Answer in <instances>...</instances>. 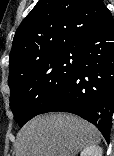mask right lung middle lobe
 <instances>
[{"label": "right lung middle lobe", "instance_id": "dd1d6c3e", "mask_svg": "<svg viewBox=\"0 0 114 156\" xmlns=\"http://www.w3.org/2000/svg\"><path fill=\"white\" fill-rule=\"evenodd\" d=\"M81 60L79 48L47 58L10 84V107L20 126L40 114L69 84Z\"/></svg>", "mask_w": 114, "mask_h": 156}]
</instances>
